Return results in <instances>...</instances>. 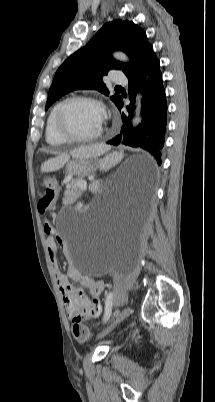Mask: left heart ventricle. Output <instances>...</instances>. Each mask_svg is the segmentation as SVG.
Returning <instances> with one entry per match:
<instances>
[{"label":"left heart ventricle","mask_w":215,"mask_h":402,"mask_svg":"<svg viewBox=\"0 0 215 402\" xmlns=\"http://www.w3.org/2000/svg\"><path fill=\"white\" fill-rule=\"evenodd\" d=\"M64 123L73 134L88 136L104 128L105 118L97 105L89 102H75L66 109Z\"/></svg>","instance_id":"obj_1"}]
</instances>
